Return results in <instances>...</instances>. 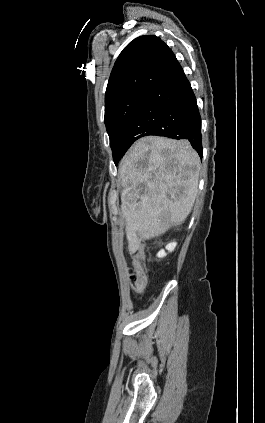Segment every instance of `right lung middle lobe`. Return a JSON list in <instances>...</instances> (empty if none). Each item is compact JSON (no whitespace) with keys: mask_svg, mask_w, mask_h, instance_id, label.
<instances>
[{"mask_svg":"<svg viewBox=\"0 0 265 423\" xmlns=\"http://www.w3.org/2000/svg\"><path fill=\"white\" fill-rule=\"evenodd\" d=\"M148 93L149 91H136L130 93L114 101L105 109L104 121L110 138V146L115 164H117L124 155L119 148L123 129L142 104Z\"/></svg>","mask_w":265,"mask_h":423,"instance_id":"obj_1","label":"right lung middle lobe"}]
</instances>
